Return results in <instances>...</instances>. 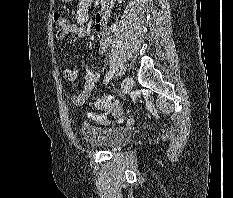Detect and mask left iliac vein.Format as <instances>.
<instances>
[{
    "label": "left iliac vein",
    "instance_id": "obj_1",
    "mask_svg": "<svg viewBox=\"0 0 233 198\" xmlns=\"http://www.w3.org/2000/svg\"><path fill=\"white\" fill-rule=\"evenodd\" d=\"M134 86V80L132 77H126L123 82H122V86H121V90L123 94H128L132 88Z\"/></svg>",
    "mask_w": 233,
    "mask_h": 198
}]
</instances>
